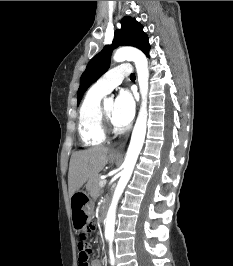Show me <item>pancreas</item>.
Segmentation results:
<instances>
[{
    "label": "pancreas",
    "instance_id": "pancreas-1",
    "mask_svg": "<svg viewBox=\"0 0 233 266\" xmlns=\"http://www.w3.org/2000/svg\"><path fill=\"white\" fill-rule=\"evenodd\" d=\"M100 181L101 179L99 178V176H97L92 180H90L86 185L88 193L94 198L98 197L99 194L101 193V187L99 186Z\"/></svg>",
    "mask_w": 233,
    "mask_h": 266
}]
</instances>
